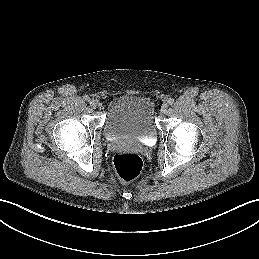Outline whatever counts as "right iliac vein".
Returning a JSON list of instances; mask_svg holds the SVG:
<instances>
[{
	"label": "right iliac vein",
	"instance_id": "1",
	"mask_svg": "<svg viewBox=\"0 0 259 259\" xmlns=\"http://www.w3.org/2000/svg\"><path fill=\"white\" fill-rule=\"evenodd\" d=\"M89 104H90L91 108H93V109H95L97 107V102L94 99L90 100Z\"/></svg>",
	"mask_w": 259,
	"mask_h": 259
}]
</instances>
